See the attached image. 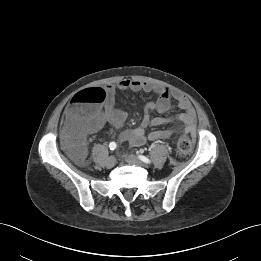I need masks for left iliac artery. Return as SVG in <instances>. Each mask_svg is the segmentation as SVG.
Masks as SVG:
<instances>
[{
	"label": "left iliac artery",
	"instance_id": "left-iliac-artery-1",
	"mask_svg": "<svg viewBox=\"0 0 261 261\" xmlns=\"http://www.w3.org/2000/svg\"><path fill=\"white\" fill-rule=\"evenodd\" d=\"M138 158L143 161L144 163L150 164L151 160L149 158H147L146 156L143 155H138Z\"/></svg>",
	"mask_w": 261,
	"mask_h": 261
}]
</instances>
